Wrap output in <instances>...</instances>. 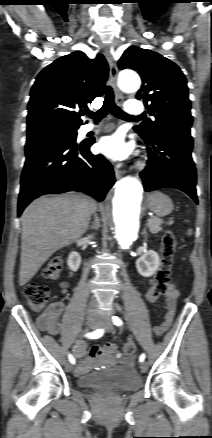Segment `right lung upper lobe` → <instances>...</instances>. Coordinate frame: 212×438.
Listing matches in <instances>:
<instances>
[{
    "label": "right lung upper lobe",
    "mask_w": 212,
    "mask_h": 438,
    "mask_svg": "<svg viewBox=\"0 0 212 438\" xmlns=\"http://www.w3.org/2000/svg\"><path fill=\"white\" fill-rule=\"evenodd\" d=\"M108 71L101 54L92 60L82 51L62 56L48 65L38 74L30 92L27 130L79 127L81 109L103 95Z\"/></svg>",
    "instance_id": "obj_1"
}]
</instances>
